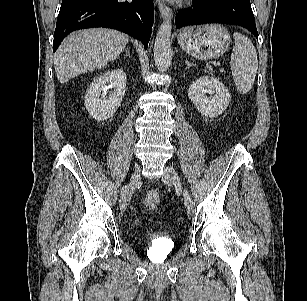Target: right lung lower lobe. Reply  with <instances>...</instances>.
Instances as JSON below:
<instances>
[{
	"mask_svg": "<svg viewBox=\"0 0 307 301\" xmlns=\"http://www.w3.org/2000/svg\"><path fill=\"white\" fill-rule=\"evenodd\" d=\"M152 0H63L53 51L74 30L106 27L122 31L148 46L153 25Z\"/></svg>",
	"mask_w": 307,
	"mask_h": 301,
	"instance_id": "right-lung-lower-lobe-1",
	"label": "right lung lower lobe"
}]
</instances>
